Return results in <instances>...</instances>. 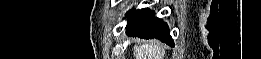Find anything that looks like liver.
I'll use <instances>...</instances> for the list:
<instances>
[{
    "instance_id": "obj_1",
    "label": "liver",
    "mask_w": 261,
    "mask_h": 59,
    "mask_svg": "<svg viewBox=\"0 0 261 59\" xmlns=\"http://www.w3.org/2000/svg\"><path fill=\"white\" fill-rule=\"evenodd\" d=\"M133 54L136 59H163L165 50L159 42L149 41L143 45H135Z\"/></svg>"
}]
</instances>
